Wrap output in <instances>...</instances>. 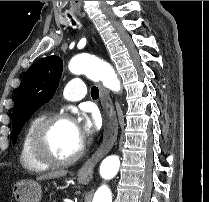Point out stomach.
Masks as SVG:
<instances>
[{
    "label": "stomach",
    "mask_w": 209,
    "mask_h": 202,
    "mask_svg": "<svg viewBox=\"0 0 209 202\" xmlns=\"http://www.w3.org/2000/svg\"><path fill=\"white\" fill-rule=\"evenodd\" d=\"M81 183L87 179L80 178ZM13 196L17 202H40L42 197L41 185L32 180L18 181L13 187Z\"/></svg>",
    "instance_id": "1"
}]
</instances>
